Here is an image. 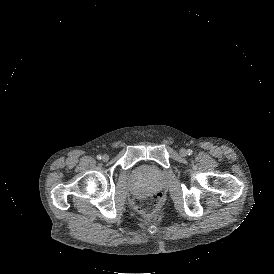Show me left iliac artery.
Instances as JSON below:
<instances>
[{
	"label": "left iliac artery",
	"mask_w": 274,
	"mask_h": 274,
	"mask_svg": "<svg viewBox=\"0 0 274 274\" xmlns=\"http://www.w3.org/2000/svg\"><path fill=\"white\" fill-rule=\"evenodd\" d=\"M187 153H188V155H192V154H193V151H192L191 149H188V150H187Z\"/></svg>",
	"instance_id": "44dca946"
}]
</instances>
